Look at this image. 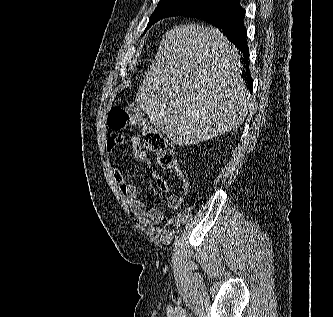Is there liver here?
<instances>
[{
  "label": "liver",
  "instance_id": "liver-1",
  "mask_svg": "<svg viewBox=\"0 0 333 317\" xmlns=\"http://www.w3.org/2000/svg\"><path fill=\"white\" fill-rule=\"evenodd\" d=\"M240 68L218 29L177 26L162 38L135 102L174 144H198L238 128L252 109Z\"/></svg>",
  "mask_w": 333,
  "mask_h": 317
}]
</instances>
